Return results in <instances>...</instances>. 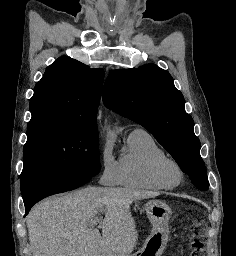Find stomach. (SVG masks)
Returning <instances> with one entry per match:
<instances>
[{"label":"stomach","mask_w":236,"mask_h":256,"mask_svg":"<svg viewBox=\"0 0 236 256\" xmlns=\"http://www.w3.org/2000/svg\"><path fill=\"white\" fill-rule=\"evenodd\" d=\"M147 216L153 226L150 236L138 252L128 256H161L169 236L168 222L172 211L163 201L150 200L145 204Z\"/></svg>","instance_id":"stomach-1"}]
</instances>
